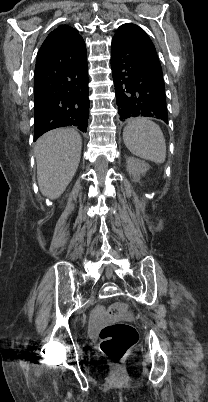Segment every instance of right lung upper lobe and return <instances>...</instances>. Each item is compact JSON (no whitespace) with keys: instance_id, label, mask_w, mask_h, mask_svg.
Wrapping results in <instances>:
<instances>
[{"instance_id":"obj_1","label":"right lung upper lobe","mask_w":208,"mask_h":402,"mask_svg":"<svg viewBox=\"0 0 208 402\" xmlns=\"http://www.w3.org/2000/svg\"><path fill=\"white\" fill-rule=\"evenodd\" d=\"M78 35L79 34L76 29L68 25H61L47 36L39 52L64 46Z\"/></svg>"}]
</instances>
